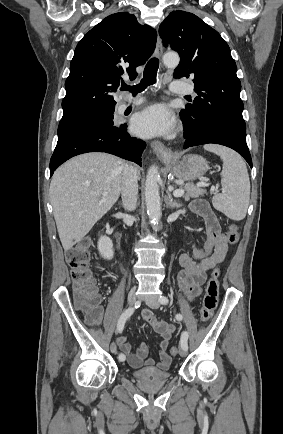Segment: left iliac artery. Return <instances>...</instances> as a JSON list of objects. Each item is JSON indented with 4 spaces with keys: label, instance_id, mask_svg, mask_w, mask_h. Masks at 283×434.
I'll return each instance as SVG.
<instances>
[{
    "label": "left iliac artery",
    "instance_id": "1",
    "mask_svg": "<svg viewBox=\"0 0 283 434\" xmlns=\"http://www.w3.org/2000/svg\"><path fill=\"white\" fill-rule=\"evenodd\" d=\"M159 301H160L161 304H167L168 303V298L166 296L161 295L159 297ZM176 319L179 320V321L182 320L183 319L182 314H176ZM187 340H188V333L186 331H184L181 334V340H180V345H181V347L183 349H188V342H187Z\"/></svg>",
    "mask_w": 283,
    "mask_h": 434
}]
</instances>
